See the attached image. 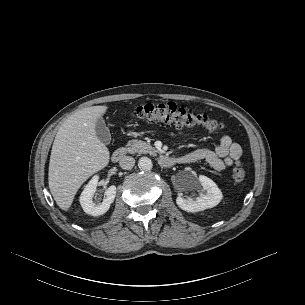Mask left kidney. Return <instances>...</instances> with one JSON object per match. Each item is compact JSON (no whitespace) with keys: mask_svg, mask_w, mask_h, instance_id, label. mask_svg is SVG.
I'll return each instance as SVG.
<instances>
[{"mask_svg":"<svg viewBox=\"0 0 305 305\" xmlns=\"http://www.w3.org/2000/svg\"><path fill=\"white\" fill-rule=\"evenodd\" d=\"M198 182L202 185L206 193L200 194V196L196 197L195 200L192 198H184L179 195L176 199V203L182 210L191 213L203 211L218 205L222 200V192L216 183L204 175H200L198 179H193L187 183L186 188L192 189L197 186Z\"/></svg>","mask_w":305,"mask_h":305,"instance_id":"1","label":"left kidney"}]
</instances>
